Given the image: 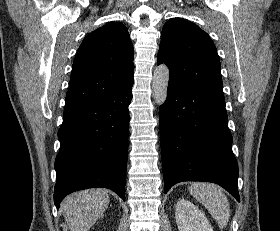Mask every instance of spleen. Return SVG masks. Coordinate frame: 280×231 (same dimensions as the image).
Returning <instances> with one entry per match:
<instances>
[{"label": "spleen", "mask_w": 280, "mask_h": 231, "mask_svg": "<svg viewBox=\"0 0 280 231\" xmlns=\"http://www.w3.org/2000/svg\"><path fill=\"white\" fill-rule=\"evenodd\" d=\"M189 191L193 197L199 199L200 203L207 207L220 229H224L228 223L230 207L221 187L214 185V183H192Z\"/></svg>", "instance_id": "3e777b00"}]
</instances>
